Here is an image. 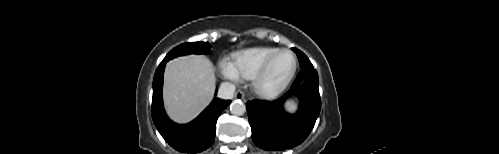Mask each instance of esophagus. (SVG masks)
Masks as SVG:
<instances>
[{
	"instance_id": "esophagus-1",
	"label": "esophagus",
	"mask_w": 499,
	"mask_h": 154,
	"mask_svg": "<svg viewBox=\"0 0 499 154\" xmlns=\"http://www.w3.org/2000/svg\"><path fill=\"white\" fill-rule=\"evenodd\" d=\"M235 98H236V99H244V93H243L241 90H238V91L235 93Z\"/></svg>"
}]
</instances>
